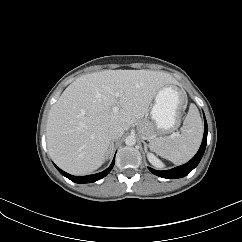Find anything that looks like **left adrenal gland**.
<instances>
[{"label": "left adrenal gland", "mask_w": 242, "mask_h": 242, "mask_svg": "<svg viewBox=\"0 0 242 242\" xmlns=\"http://www.w3.org/2000/svg\"><path fill=\"white\" fill-rule=\"evenodd\" d=\"M142 142H143V144H144V149H145V151L147 152V147H148V145H147V143H146L145 141L142 140Z\"/></svg>", "instance_id": "left-adrenal-gland-1"}]
</instances>
